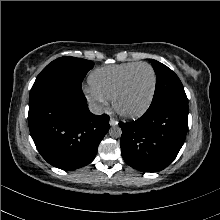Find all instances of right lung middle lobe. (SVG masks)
<instances>
[{
  "mask_svg": "<svg viewBox=\"0 0 220 220\" xmlns=\"http://www.w3.org/2000/svg\"><path fill=\"white\" fill-rule=\"evenodd\" d=\"M94 63L70 56L58 58L48 64L37 76L33 86L50 80H67L81 83Z\"/></svg>",
  "mask_w": 220,
  "mask_h": 220,
  "instance_id": "1",
  "label": "right lung middle lobe"
}]
</instances>
